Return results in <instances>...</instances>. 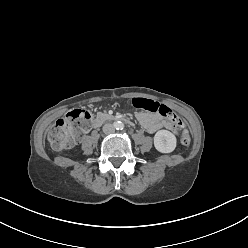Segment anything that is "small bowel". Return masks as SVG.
Returning a JSON list of instances; mask_svg holds the SVG:
<instances>
[{
    "mask_svg": "<svg viewBox=\"0 0 248 248\" xmlns=\"http://www.w3.org/2000/svg\"><path fill=\"white\" fill-rule=\"evenodd\" d=\"M136 118L143 126V128L149 133H155L158 130L165 128L174 133L178 131V125L174 122L162 118L159 113L137 112Z\"/></svg>",
    "mask_w": 248,
    "mask_h": 248,
    "instance_id": "c3829d8e",
    "label": "small bowel"
}]
</instances>
